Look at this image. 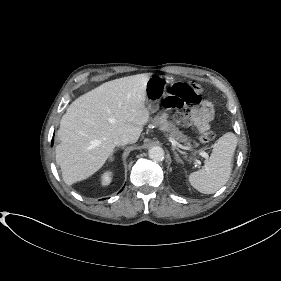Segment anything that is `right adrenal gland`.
Returning <instances> with one entry per match:
<instances>
[{
	"instance_id": "obj_1",
	"label": "right adrenal gland",
	"mask_w": 281,
	"mask_h": 281,
	"mask_svg": "<svg viewBox=\"0 0 281 281\" xmlns=\"http://www.w3.org/2000/svg\"><path fill=\"white\" fill-rule=\"evenodd\" d=\"M115 151H116V150H114V151L112 152V154H111V156H110V158H109L110 161H113V160H114L113 154L115 153Z\"/></svg>"
}]
</instances>
